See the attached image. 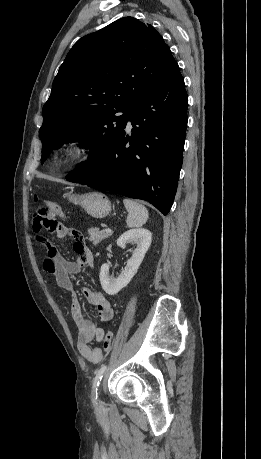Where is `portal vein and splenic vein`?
I'll return each mask as SVG.
<instances>
[{
  "instance_id": "1",
  "label": "portal vein and splenic vein",
  "mask_w": 261,
  "mask_h": 459,
  "mask_svg": "<svg viewBox=\"0 0 261 459\" xmlns=\"http://www.w3.org/2000/svg\"><path fill=\"white\" fill-rule=\"evenodd\" d=\"M104 231H106L108 233H112V230L110 228H105Z\"/></svg>"
}]
</instances>
